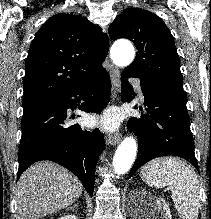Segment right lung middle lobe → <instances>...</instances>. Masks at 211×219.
Here are the masks:
<instances>
[{
    "label": "right lung middle lobe",
    "mask_w": 211,
    "mask_h": 219,
    "mask_svg": "<svg viewBox=\"0 0 211 219\" xmlns=\"http://www.w3.org/2000/svg\"><path fill=\"white\" fill-rule=\"evenodd\" d=\"M36 106H38V105L23 106V108H24V111H26V110L32 109V108H34V107H36Z\"/></svg>",
    "instance_id": "dd1d6c3e"
}]
</instances>
